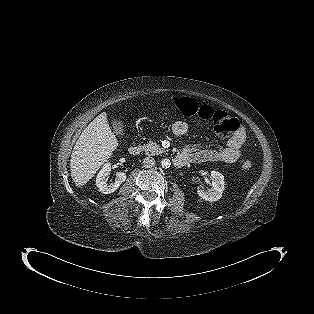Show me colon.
<instances>
[{"label":"colon","mask_w":314,"mask_h":314,"mask_svg":"<svg viewBox=\"0 0 314 314\" xmlns=\"http://www.w3.org/2000/svg\"><path fill=\"white\" fill-rule=\"evenodd\" d=\"M180 114L185 118L198 116L202 120L211 121L214 131L219 135L235 133L239 130V122L225 111L215 110L209 105H201L196 100L183 97L178 101ZM253 162L250 157H245L240 162V168L248 171L252 168Z\"/></svg>","instance_id":"5ec220e1"}]
</instances>
